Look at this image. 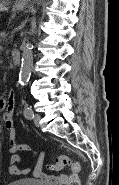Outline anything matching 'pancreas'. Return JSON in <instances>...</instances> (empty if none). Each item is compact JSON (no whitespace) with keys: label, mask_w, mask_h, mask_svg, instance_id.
<instances>
[{"label":"pancreas","mask_w":119,"mask_h":185,"mask_svg":"<svg viewBox=\"0 0 119 185\" xmlns=\"http://www.w3.org/2000/svg\"><path fill=\"white\" fill-rule=\"evenodd\" d=\"M0 37H2V41H5L6 40V34L5 33H1L0 34Z\"/></svg>","instance_id":"pancreas-1"}]
</instances>
